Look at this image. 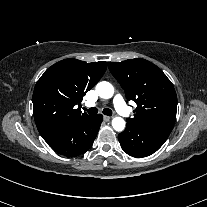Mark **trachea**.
Masks as SVG:
<instances>
[{"instance_id": "trachea-1", "label": "trachea", "mask_w": 207, "mask_h": 207, "mask_svg": "<svg viewBox=\"0 0 207 207\" xmlns=\"http://www.w3.org/2000/svg\"><path fill=\"white\" fill-rule=\"evenodd\" d=\"M83 109L86 110L91 115L98 113V109L95 108V107H92V108H89V109H86V108H83ZM103 114H105L107 116H111L112 111L110 109H104Z\"/></svg>"}]
</instances>
